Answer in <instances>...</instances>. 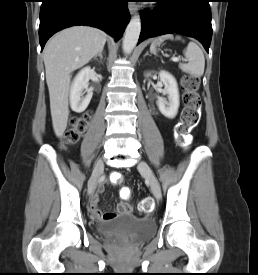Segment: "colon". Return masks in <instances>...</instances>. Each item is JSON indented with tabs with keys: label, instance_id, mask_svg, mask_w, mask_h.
<instances>
[{
	"label": "colon",
	"instance_id": "5ec220e1",
	"mask_svg": "<svg viewBox=\"0 0 258 275\" xmlns=\"http://www.w3.org/2000/svg\"><path fill=\"white\" fill-rule=\"evenodd\" d=\"M183 90L184 109L182 112L181 122L176 128L177 140L180 145H186L189 142L190 132L197 126L201 116V98L198 93L199 81L195 76H184L181 81ZM90 118V113H85L74 117L70 121V127L65 131L63 143L66 145L74 144L79 141L85 132ZM123 174L116 172L111 175V181L120 185L123 182ZM123 198L130 195V189L123 187L120 192ZM154 207L150 197L144 198L139 204V210L143 213L152 211Z\"/></svg>",
	"mask_w": 258,
	"mask_h": 275
}]
</instances>
